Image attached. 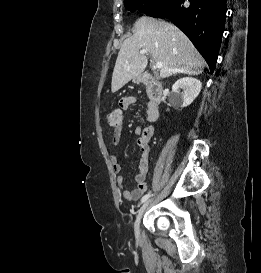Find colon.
Listing matches in <instances>:
<instances>
[{"mask_svg":"<svg viewBox=\"0 0 261 273\" xmlns=\"http://www.w3.org/2000/svg\"><path fill=\"white\" fill-rule=\"evenodd\" d=\"M107 122L110 126H120L122 124V112L119 109L112 110L107 115Z\"/></svg>","mask_w":261,"mask_h":273,"instance_id":"1","label":"colon"}]
</instances>
